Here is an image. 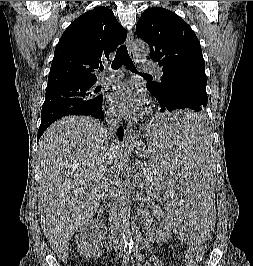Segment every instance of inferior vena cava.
Wrapping results in <instances>:
<instances>
[{
	"label": "inferior vena cava",
	"instance_id": "602c4592",
	"mask_svg": "<svg viewBox=\"0 0 253 266\" xmlns=\"http://www.w3.org/2000/svg\"><path fill=\"white\" fill-rule=\"evenodd\" d=\"M121 123V119L119 116L107 113V124L109 125V140H116L114 135V131L117 129L118 125ZM103 199H107L109 201V221L111 225V237L114 239V244L116 249L121 250L122 242H123V231L120 227V215L118 213V207L114 204L113 200L116 197L115 194V186L113 176H108L103 188ZM121 253H119L120 255Z\"/></svg>",
	"mask_w": 253,
	"mask_h": 266
}]
</instances>
